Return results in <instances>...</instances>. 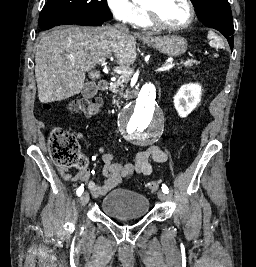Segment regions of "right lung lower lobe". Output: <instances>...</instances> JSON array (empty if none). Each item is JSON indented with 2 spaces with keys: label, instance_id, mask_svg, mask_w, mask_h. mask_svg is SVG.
<instances>
[{
  "label": "right lung lower lobe",
  "instance_id": "obj_1",
  "mask_svg": "<svg viewBox=\"0 0 256 267\" xmlns=\"http://www.w3.org/2000/svg\"><path fill=\"white\" fill-rule=\"evenodd\" d=\"M103 21L101 20H88V19H75V20H67L64 22H59L56 23L55 25H50L47 28L50 29L54 26H58L61 24H65V25H69V24H78V25H86V26H96L100 23H102ZM47 30V29H46Z\"/></svg>",
  "mask_w": 256,
  "mask_h": 267
}]
</instances>
